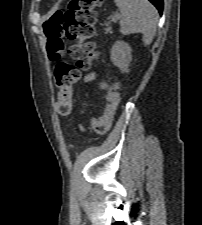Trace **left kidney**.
I'll return each instance as SVG.
<instances>
[{"label":"left kidney","instance_id":"obj_1","mask_svg":"<svg viewBox=\"0 0 202 225\" xmlns=\"http://www.w3.org/2000/svg\"><path fill=\"white\" fill-rule=\"evenodd\" d=\"M132 49L128 43L116 41L111 49V61L120 68L121 71H128L129 64L132 60Z\"/></svg>","mask_w":202,"mask_h":225}]
</instances>
